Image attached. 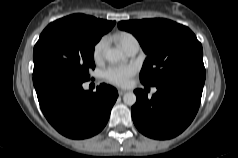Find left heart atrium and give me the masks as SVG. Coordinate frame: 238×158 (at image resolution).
<instances>
[{"mask_svg": "<svg viewBox=\"0 0 238 158\" xmlns=\"http://www.w3.org/2000/svg\"><path fill=\"white\" fill-rule=\"evenodd\" d=\"M135 73L134 65H111L104 71V77L114 85L126 86Z\"/></svg>", "mask_w": 238, "mask_h": 158, "instance_id": "left-heart-atrium-1", "label": "left heart atrium"}]
</instances>
